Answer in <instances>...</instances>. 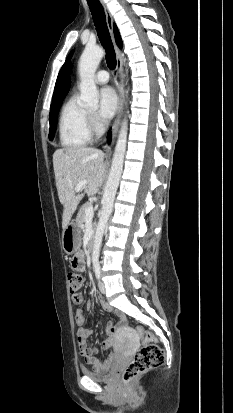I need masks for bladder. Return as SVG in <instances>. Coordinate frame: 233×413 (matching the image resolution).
Masks as SVG:
<instances>
[{
  "label": "bladder",
  "instance_id": "31cf9c89",
  "mask_svg": "<svg viewBox=\"0 0 233 413\" xmlns=\"http://www.w3.org/2000/svg\"><path fill=\"white\" fill-rule=\"evenodd\" d=\"M83 376L98 382H109L113 378V372L109 369L104 371L82 370Z\"/></svg>",
  "mask_w": 233,
  "mask_h": 413
}]
</instances>
